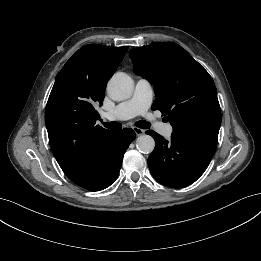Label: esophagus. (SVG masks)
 Segmentation results:
<instances>
[{"instance_id":"34e87169","label":"esophagus","mask_w":261,"mask_h":261,"mask_svg":"<svg viewBox=\"0 0 261 261\" xmlns=\"http://www.w3.org/2000/svg\"><path fill=\"white\" fill-rule=\"evenodd\" d=\"M134 132H135L136 136H141L144 134L145 131L141 128L135 127Z\"/></svg>"}]
</instances>
